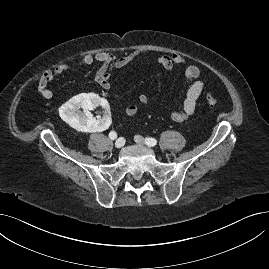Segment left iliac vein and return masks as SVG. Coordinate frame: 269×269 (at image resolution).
Segmentation results:
<instances>
[{
	"label": "left iliac vein",
	"instance_id": "1",
	"mask_svg": "<svg viewBox=\"0 0 269 269\" xmlns=\"http://www.w3.org/2000/svg\"><path fill=\"white\" fill-rule=\"evenodd\" d=\"M134 140H135L136 143H138V144H140V145H144V139H143V137H141V136H139V135H136V136L134 137Z\"/></svg>",
	"mask_w": 269,
	"mask_h": 269
}]
</instances>
